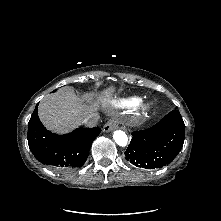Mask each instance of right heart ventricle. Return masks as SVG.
I'll return each mask as SVG.
<instances>
[{
    "mask_svg": "<svg viewBox=\"0 0 221 221\" xmlns=\"http://www.w3.org/2000/svg\"><path fill=\"white\" fill-rule=\"evenodd\" d=\"M137 102H139V99L136 97L122 99L118 102L119 107H133Z\"/></svg>",
    "mask_w": 221,
    "mask_h": 221,
    "instance_id": "1",
    "label": "right heart ventricle"
}]
</instances>
